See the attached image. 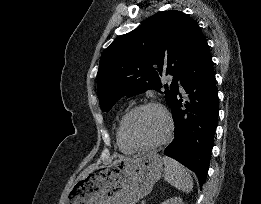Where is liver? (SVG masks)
<instances>
[{
  "label": "liver",
  "instance_id": "6515ba94",
  "mask_svg": "<svg viewBox=\"0 0 261 204\" xmlns=\"http://www.w3.org/2000/svg\"><path fill=\"white\" fill-rule=\"evenodd\" d=\"M129 159V158H126ZM96 167L94 165H91L83 174V177L87 175L90 171L94 170Z\"/></svg>",
  "mask_w": 261,
  "mask_h": 204
}]
</instances>
